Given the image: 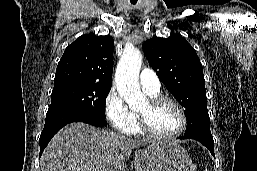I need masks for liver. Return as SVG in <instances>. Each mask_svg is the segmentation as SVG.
Here are the masks:
<instances>
[{
	"label": "liver",
	"instance_id": "6515ba94",
	"mask_svg": "<svg viewBox=\"0 0 257 171\" xmlns=\"http://www.w3.org/2000/svg\"><path fill=\"white\" fill-rule=\"evenodd\" d=\"M148 143L85 123H71L44 150L41 171H127L132 150Z\"/></svg>",
	"mask_w": 257,
	"mask_h": 171
}]
</instances>
